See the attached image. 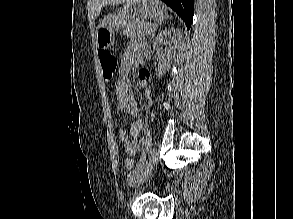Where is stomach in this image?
<instances>
[{"mask_svg": "<svg viewBox=\"0 0 293 219\" xmlns=\"http://www.w3.org/2000/svg\"><path fill=\"white\" fill-rule=\"evenodd\" d=\"M166 17V8L160 0H133L99 20L96 27V44L98 48L109 49L127 21H162Z\"/></svg>", "mask_w": 293, "mask_h": 219, "instance_id": "obj_1", "label": "stomach"}]
</instances>
